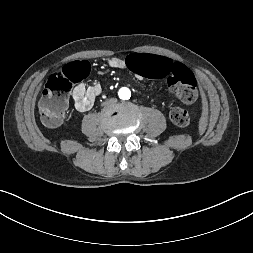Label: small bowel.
<instances>
[{
  "label": "small bowel",
  "instance_id": "small-bowel-1",
  "mask_svg": "<svg viewBox=\"0 0 253 253\" xmlns=\"http://www.w3.org/2000/svg\"><path fill=\"white\" fill-rule=\"evenodd\" d=\"M129 56L123 58L118 56H111L107 59V65L114 69H125L126 60ZM101 86L99 84H93L91 86H87L84 83H80L77 85L73 92L72 98L74 101V105L76 110L79 112H86L92 108L96 98L101 93Z\"/></svg>",
  "mask_w": 253,
  "mask_h": 253
}]
</instances>
